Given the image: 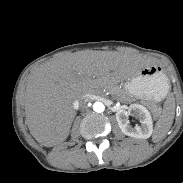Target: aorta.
<instances>
[{"instance_id":"1","label":"aorta","mask_w":183,"mask_h":183,"mask_svg":"<svg viewBox=\"0 0 183 183\" xmlns=\"http://www.w3.org/2000/svg\"><path fill=\"white\" fill-rule=\"evenodd\" d=\"M93 110H94L95 112H97V113H101V112H103V111L105 110V106H104V104L101 103V102H95V103L93 104Z\"/></svg>"}]
</instances>
